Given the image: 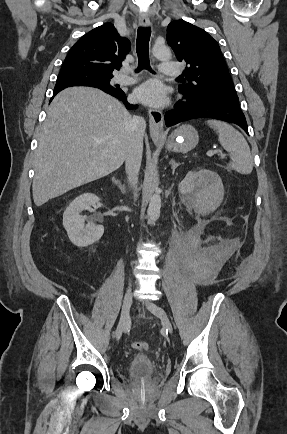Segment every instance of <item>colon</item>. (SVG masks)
<instances>
[{"label":"colon","instance_id":"1","mask_svg":"<svg viewBox=\"0 0 287 434\" xmlns=\"http://www.w3.org/2000/svg\"><path fill=\"white\" fill-rule=\"evenodd\" d=\"M132 347L139 351H146L148 349V344L144 341H135L132 343Z\"/></svg>","mask_w":287,"mask_h":434}]
</instances>
